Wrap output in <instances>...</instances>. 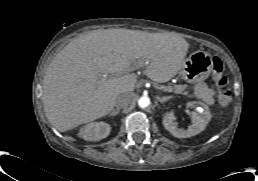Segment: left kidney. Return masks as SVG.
<instances>
[{
  "instance_id": "5707ae66",
  "label": "left kidney",
  "mask_w": 258,
  "mask_h": 181,
  "mask_svg": "<svg viewBox=\"0 0 258 181\" xmlns=\"http://www.w3.org/2000/svg\"><path fill=\"white\" fill-rule=\"evenodd\" d=\"M188 107H194L196 112L192 113L193 124L187 130L178 128L174 123V112L170 111L163 118V125L173 136L177 138H188L202 132L211 119L208 107L202 102H190Z\"/></svg>"
}]
</instances>
